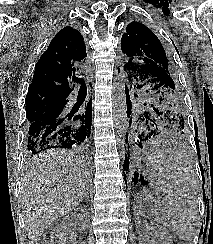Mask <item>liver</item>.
Listing matches in <instances>:
<instances>
[{
    "instance_id": "1",
    "label": "liver",
    "mask_w": 213,
    "mask_h": 244,
    "mask_svg": "<svg viewBox=\"0 0 213 244\" xmlns=\"http://www.w3.org/2000/svg\"><path fill=\"white\" fill-rule=\"evenodd\" d=\"M87 182V166L77 151L52 149L32 158L20 192L25 226L32 244L58 218L79 205Z\"/></svg>"
}]
</instances>
